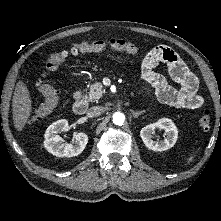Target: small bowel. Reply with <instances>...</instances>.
<instances>
[{"mask_svg": "<svg viewBox=\"0 0 221 221\" xmlns=\"http://www.w3.org/2000/svg\"><path fill=\"white\" fill-rule=\"evenodd\" d=\"M159 63L167 65L179 88L169 85L165 77L155 71ZM141 73L143 79L153 87L161 103L189 110L202 108L203 99L197 94L198 79L179 55L168 46L158 45L152 48L142 60Z\"/></svg>", "mask_w": 221, "mask_h": 221, "instance_id": "1", "label": "small bowel"}]
</instances>
